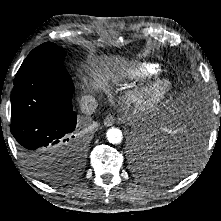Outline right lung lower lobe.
I'll return each mask as SVG.
<instances>
[{"label": "right lung lower lobe", "instance_id": "1", "mask_svg": "<svg viewBox=\"0 0 221 221\" xmlns=\"http://www.w3.org/2000/svg\"><path fill=\"white\" fill-rule=\"evenodd\" d=\"M73 91L64 65L38 71L14 84L11 132L29 163L61 157L81 163L85 143L73 133L77 123Z\"/></svg>", "mask_w": 221, "mask_h": 221}]
</instances>
